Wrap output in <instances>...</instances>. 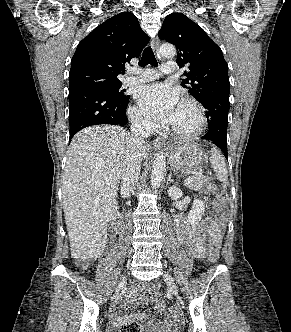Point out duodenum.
<instances>
[{"label": "duodenum", "mask_w": 291, "mask_h": 332, "mask_svg": "<svg viewBox=\"0 0 291 332\" xmlns=\"http://www.w3.org/2000/svg\"><path fill=\"white\" fill-rule=\"evenodd\" d=\"M121 224H122V216L121 215H117L115 218H114V221H113V228L114 230L118 231L121 227Z\"/></svg>", "instance_id": "410a0bca"}]
</instances>
